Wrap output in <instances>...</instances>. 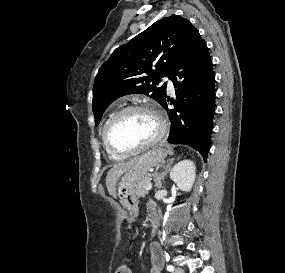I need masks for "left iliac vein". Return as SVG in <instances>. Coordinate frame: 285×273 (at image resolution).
<instances>
[{
  "instance_id": "left-iliac-vein-1",
  "label": "left iliac vein",
  "mask_w": 285,
  "mask_h": 273,
  "mask_svg": "<svg viewBox=\"0 0 285 273\" xmlns=\"http://www.w3.org/2000/svg\"><path fill=\"white\" fill-rule=\"evenodd\" d=\"M174 273H185L184 270L180 267H177L174 271Z\"/></svg>"
}]
</instances>
